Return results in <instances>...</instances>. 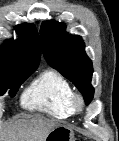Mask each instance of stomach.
<instances>
[{
	"label": "stomach",
	"instance_id": "obj_1",
	"mask_svg": "<svg viewBox=\"0 0 119 141\" xmlns=\"http://www.w3.org/2000/svg\"><path fill=\"white\" fill-rule=\"evenodd\" d=\"M45 141H75L74 132L66 125H59L48 133Z\"/></svg>",
	"mask_w": 119,
	"mask_h": 141
}]
</instances>
